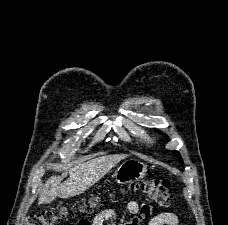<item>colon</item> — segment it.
Wrapping results in <instances>:
<instances>
[{"mask_svg": "<svg viewBox=\"0 0 228 225\" xmlns=\"http://www.w3.org/2000/svg\"><path fill=\"white\" fill-rule=\"evenodd\" d=\"M140 189L150 195L157 204L165 206L173 200V190L171 179H150L138 182ZM90 208H95V203L89 204ZM59 219L53 209L37 210L27 221V225H58ZM72 225H91L88 219H82Z\"/></svg>", "mask_w": 228, "mask_h": 225, "instance_id": "5ec220e1", "label": "colon"}]
</instances>
